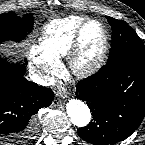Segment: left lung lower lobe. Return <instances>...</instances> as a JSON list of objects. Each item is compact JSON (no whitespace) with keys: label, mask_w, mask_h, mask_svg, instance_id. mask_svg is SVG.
Segmentation results:
<instances>
[{"label":"left lung lower lobe","mask_w":145,"mask_h":145,"mask_svg":"<svg viewBox=\"0 0 145 145\" xmlns=\"http://www.w3.org/2000/svg\"><path fill=\"white\" fill-rule=\"evenodd\" d=\"M93 119L77 130L94 145H110L131 135L145 115V63L122 60L107 63L76 86Z\"/></svg>","instance_id":"1"}]
</instances>
